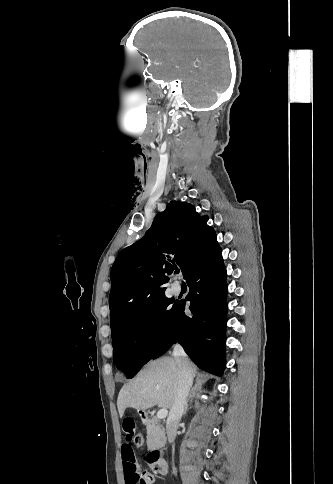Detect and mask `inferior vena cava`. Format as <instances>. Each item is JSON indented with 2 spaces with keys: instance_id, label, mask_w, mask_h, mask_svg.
Instances as JSON below:
<instances>
[{
  "instance_id": "inferior-vena-cava-1",
  "label": "inferior vena cava",
  "mask_w": 333,
  "mask_h": 484,
  "mask_svg": "<svg viewBox=\"0 0 333 484\" xmlns=\"http://www.w3.org/2000/svg\"><path fill=\"white\" fill-rule=\"evenodd\" d=\"M173 356L179 367V385L166 422L169 443H172L176 437L178 424L184 413L186 399L193 380L191 363L182 346L179 344L173 346Z\"/></svg>"
}]
</instances>
